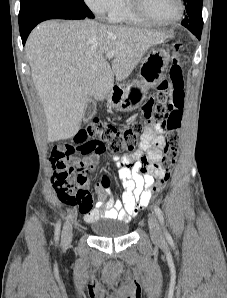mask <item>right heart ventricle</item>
<instances>
[{"label":"right heart ventricle","mask_w":227,"mask_h":298,"mask_svg":"<svg viewBox=\"0 0 227 298\" xmlns=\"http://www.w3.org/2000/svg\"><path fill=\"white\" fill-rule=\"evenodd\" d=\"M112 23H121L126 25H145V21L138 18L130 9L128 0H119L116 8L108 15Z\"/></svg>","instance_id":"right-heart-ventricle-1"}]
</instances>
